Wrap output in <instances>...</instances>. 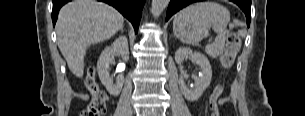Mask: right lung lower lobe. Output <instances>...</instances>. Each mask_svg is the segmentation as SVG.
Segmentation results:
<instances>
[{
  "instance_id": "98d812e1",
  "label": "right lung lower lobe",
  "mask_w": 305,
  "mask_h": 116,
  "mask_svg": "<svg viewBox=\"0 0 305 116\" xmlns=\"http://www.w3.org/2000/svg\"><path fill=\"white\" fill-rule=\"evenodd\" d=\"M70 0H53L52 21L55 25L60 8ZM115 7L133 25L135 33L138 31L142 9L145 0H99Z\"/></svg>"
}]
</instances>
